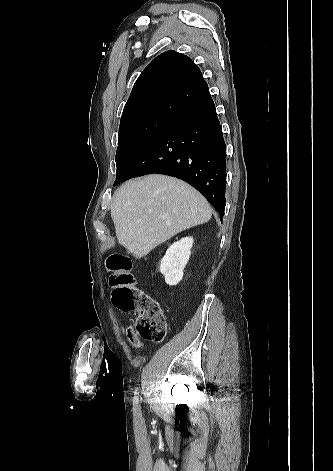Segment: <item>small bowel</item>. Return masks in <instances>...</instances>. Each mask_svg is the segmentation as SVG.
I'll return each instance as SVG.
<instances>
[{
	"instance_id": "obj_1",
	"label": "small bowel",
	"mask_w": 333,
	"mask_h": 471,
	"mask_svg": "<svg viewBox=\"0 0 333 471\" xmlns=\"http://www.w3.org/2000/svg\"><path fill=\"white\" fill-rule=\"evenodd\" d=\"M121 330L132 347L136 349H140L146 345L144 342L140 340V338L138 337L137 333L135 332L132 326L122 327Z\"/></svg>"
}]
</instances>
